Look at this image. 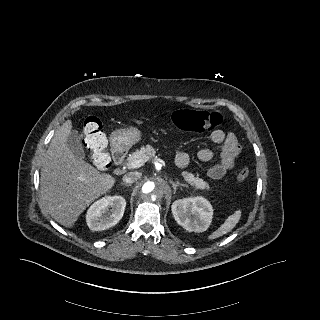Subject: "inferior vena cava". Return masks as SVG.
I'll return each instance as SVG.
<instances>
[{
  "mask_svg": "<svg viewBox=\"0 0 320 320\" xmlns=\"http://www.w3.org/2000/svg\"><path fill=\"white\" fill-rule=\"evenodd\" d=\"M141 177L139 172H128L123 176V181L127 184L136 182Z\"/></svg>",
  "mask_w": 320,
  "mask_h": 320,
  "instance_id": "1",
  "label": "inferior vena cava"
}]
</instances>
